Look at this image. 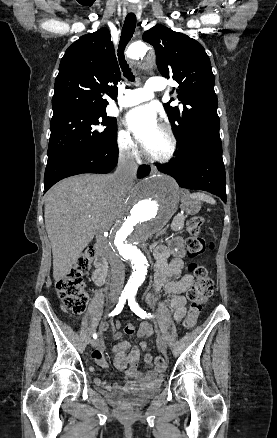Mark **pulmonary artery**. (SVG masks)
Returning <instances> with one entry per match:
<instances>
[{"mask_svg": "<svg viewBox=\"0 0 277 438\" xmlns=\"http://www.w3.org/2000/svg\"><path fill=\"white\" fill-rule=\"evenodd\" d=\"M173 80H164L162 76H155L149 78L145 83V87H125L123 93L127 96L122 100V105L131 107L140 104L151 96L153 90H165L166 86H172Z\"/></svg>", "mask_w": 277, "mask_h": 438, "instance_id": "pulmonary-artery-1", "label": "pulmonary artery"}]
</instances>
